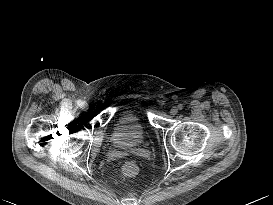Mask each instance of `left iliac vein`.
I'll return each mask as SVG.
<instances>
[{"mask_svg":"<svg viewBox=\"0 0 273 205\" xmlns=\"http://www.w3.org/2000/svg\"><path fill=\"white\" fill-rule=\"evenodd\" d=\"M178 113V109L176 107H172L170 110L171 115H176Z\"/></svg>","mask_w":273,"mask_h":205,"instance_id":"obj_1","label":"left iliac vein"}]
</instances>
